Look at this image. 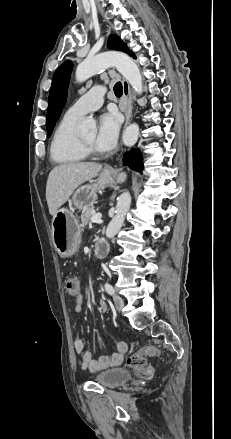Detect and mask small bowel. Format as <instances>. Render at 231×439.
<instances>
[{
	"label": "small bowel",
	"mask_w": 231,
	"mask_h": 439,
	"mask_svg": "<svg viewBox=\"0 0 231 439\" xmlns=\"http://www.w3.org/2000/svg\"><path fill=\"white\" fill-rule=\"evenodd\" d=\"M78 295V298H74L76 302L74 312L76 313L77 318L80 319L83 311L82 304L87 292L86 290L81 289L79 290ZM97 308L100 313H105L107 311L106 302L100 300ZM116 348L117 352L110 356L102 355L98 358H94L92 353L85 349L84 342L79 336H76L74 340L75 352L80 355V367L91 372H98L110 367L120 366L123 362L124 354L127 351V345L126 343L119 341L116 343Z\"/></svg>",
	"instance_id": "obj_1"
}]
</instances>
